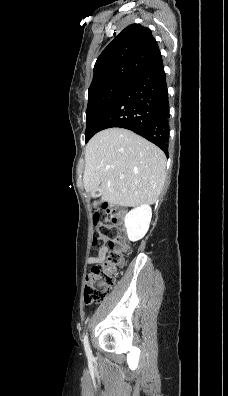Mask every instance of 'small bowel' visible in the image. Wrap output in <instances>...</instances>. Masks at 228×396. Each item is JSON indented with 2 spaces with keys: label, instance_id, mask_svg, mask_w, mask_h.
<instances>
[{
  "label": "small bowel",
  "instance_id": "small-bowel-1",
  "mask_svg": "<svg viewBox=\"0 0 228 396\" xmlns=\"http://www.w3.org/2000/svg\"><path fill=\"white\" fill-rule=\"evenodd\" d=\"M106 253H107V249L105 247L100 248L96 256L89 258L88 260L89 265H96L101 263L105 258Z\"/></svg>",
  "mask_w": 228,
  "mask_h": 396
}]
</instances>
